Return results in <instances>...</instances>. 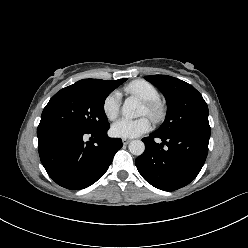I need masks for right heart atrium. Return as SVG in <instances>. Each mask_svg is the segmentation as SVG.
I'll return each instance as SVG.
<instances>
[{
    "label": "right heart atrium",
    "instance_id": "obj_1",
    "mask_svg": "<svg viewBox=\"0 0 248 248\" xmlns=\"http://www.w3.org/2000/svg\"><path fill=\"white\" fill-rule=\"evenodd\" d=\"M120 102V94L116 91L109 93L105 97L102 109L107 119L114 120L118 116L120 110Z\"/></svg>",
    "mask_w": 248,
    "mask_h": 248
}]
</instances>
